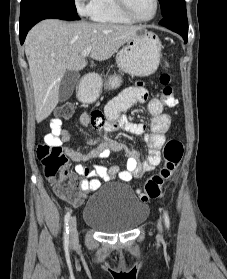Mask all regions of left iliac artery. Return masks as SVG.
Instances as JSON below:
<instances>
[{
    "label": "left iliac artery",
    "instance_id": "left-iliac-artery-1",
    "mask_svg": "<svg viewBox=\"0 0 227 279\" xmlns=\"http://www.w3.org/2000/svg\"><path fill=\"white\" fill-rule=\"evenodd\" d=\"M164 220H165L166 227L169 228L170 219H169L168 213L166 211H164Z\"/></svg>",
    "mask_w": 227,
    "mask_h": 279
}]
</instances>
